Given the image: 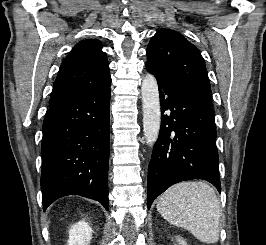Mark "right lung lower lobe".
Wrapping results in <instances>:
<instances>
[{"instance_id":"obj_1","label":"right lung lower lobe","mask_w":266,"mask_h":245,"mask_svg":"<svg viewBox=\"0 0 266 245\" xmlns=\"http://www.w3.org/2000/svg\"><path fill=\"white\" fill-rule=\"evenodd\" d=\"M110 84L83 88L46 112L41 152L44 211L67 195L97 200L108 210Z\"/></svg>"}]
</instances>
